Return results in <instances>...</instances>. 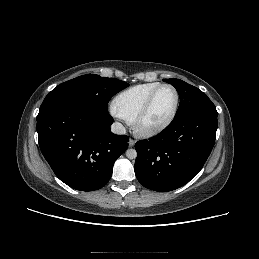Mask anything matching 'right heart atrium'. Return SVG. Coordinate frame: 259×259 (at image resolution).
Here are the masks:
<instances>
[{
  "label": "right heart atrium",
  "mask_w": 259,
  "mask_h": 259,
  "mask_svg": "<svg viewBox=\"0 0 259 259\" xmlns=\"http://www.w3.org/2000/svg\"><path fill=\"white\" fill-rule=\"evenodd\" d=\"M112 114H113V116L116 117V118H122V117L115 111V109L112 110Z\"/></svg>",
  "instance_id": "1"
}]
</instances>
